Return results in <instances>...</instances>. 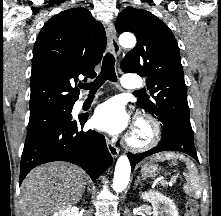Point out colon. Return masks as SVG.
<instances>
[{"instance_id":"colon-1","label":"colon","mask_w":221,"mask_h":216,"mask_svg":"<svg viewBox=\"0 0 221 216\" xmlns=\"http://www.w3.org/2000/svg\"><path fill=\"white\" fill-rule=\"evenodd\" d=\"M186 216H197V204L193 200L187 203Z\"/></svg>"}]
</instances>
